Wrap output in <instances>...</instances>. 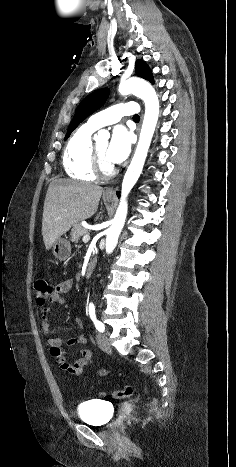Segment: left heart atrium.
<instances>
[{
  "mask_svg": "<svg viewBox=\"0 0 236 467\" xmlns=\"http://www.w3.org/2000/svg\"><path fill=\"white\" fill-rule=\"evenodd\" d=\"M132 136L124 126L114 128L107 150V158L111 163L123 162L129 155Z\"/></svg>",
  "mask_w": 236,
  "mask_h": 467,
  "instance_id": "left-heart-atrium-1",
  "label": "left heart atrium"
}]
</instances>
